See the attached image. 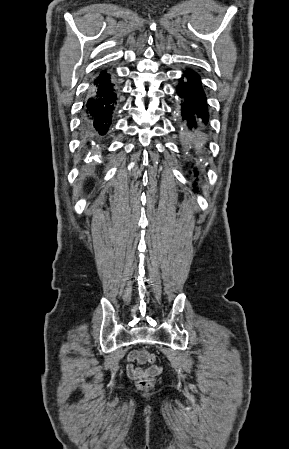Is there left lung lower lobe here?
I'll return each instance as SVG.
<instances>
[{"label":"left lung lower lobe","mask_w":289,"mask_h":449,"mask_svg":"<svg viewBox=\"0 0 289 449\" xmlns=\"http://www.w3.org/2000/svg\"><path fill=\"white\" fill-rule=\"evenodd\" d=\"M185 76L187 82L180 79V83L177 87V93L182 98L181 103V116L185 122V129L183 128V135L186 136L190 131L194 135L193 143L199 146L202 143V137L199 134H195L194 130H197L202 125H206L208 122V110L206 103V96L201 86L200 77L193 71H186ZM195 177L199 175L197 168H194L193 172ZM198 180V178H197ZM194 185V191H197L196 182Z\"/></svg>","instance_id":"obj_1"}]
</instances>
